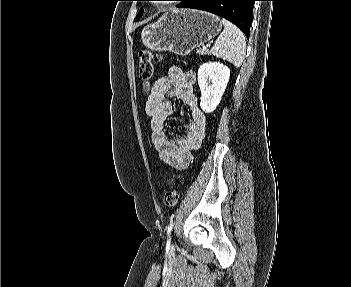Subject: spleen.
<instances>
[{"instance_id":"3e777b00","label":"spleen","mask_w":351,"mask_h":287,"mask_svg":"<svg viewBox=\"0 0 351 287\" xmlns=\"http://www.w3.org/2000/svg\"><path fill=\"white\" fill-rule=\"evenodd\" d=\"M224 30L215 41L211 52L216 57L227 60L235 67H240L244 60L246 41L245 36L238 27L222 19Z\"/></svg>"}]
</instances>
